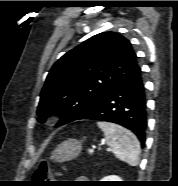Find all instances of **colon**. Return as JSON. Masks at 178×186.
<instances>
[{"instance_id":"5ec220e1","label":"colon","mask_w":178,"mask_h":186,"mask_svg":"<svg viewBox=\"0 0 178 186\" xmlns=\"http://www.w3.org/2000/svg\"><path fill=\"white\" fill-rule=\"evenodd\" d=\"M52 174L49 163L47 161H42L35 172V179L39 181H49L51 180Z\"/></svg>"}]
</instances>
